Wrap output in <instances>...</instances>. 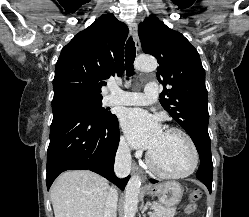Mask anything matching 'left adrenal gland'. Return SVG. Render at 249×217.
Returning a JSON list of instances; mask_svg holds the SVG:
<instances>
[{
	"mask_svg": "<svg viewBox=\"0 0 249 217\" xmlns=\"http://www.w3.org/2000/svg\"><path fill=\"white\" fill-rule=\"evenodd\" d=\"M147 207H148V205H146V206L144 207L143 213L146 211ZM144 217H146V216L144 215Z\"/></svg>",
	"mask_w": 249,
	"mask_h": 217,
	"instance_id": "a2214340",
	"label": "left adrenal gland"
}]
</instances>
